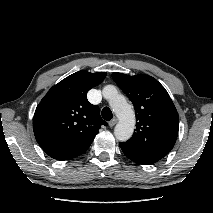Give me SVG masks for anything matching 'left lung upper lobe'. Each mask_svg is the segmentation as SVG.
Listing matches in <instances>:
<instances>
[{
	"mask_svg": "<svg viewBox=\"0 0 213 213\" xmlns=\"http://www.w3.org/2000/svg\"><path fill=\"white\" fill-rule=\"evenodd\" d=\"M112 78L133 103L137 119L133 136L122 143L145 155L165 157L179 128L178 112L165 88L144 74L112 73Z\"/></svg>",
	"mask_w": 213,
	"mask_h": 213,
	"instance_id": "5c2ea615",
	"label": "left lung upper lobe"
}]
</instances>
